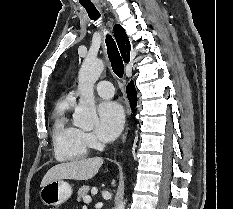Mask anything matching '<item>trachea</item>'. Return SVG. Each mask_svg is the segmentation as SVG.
<instances>
[{
  "instance_id": "1",
  "label": "trachea",
  "mask_w": 233,
  "mask_h": 209,
  "mask_svg": "<svg viewBox=\"0 0 233 209\" xmlns=\"http://www.w3.org/2000/svg\"><path fill=\"white\" fill-rule=\"evenodd\" d=\"M84 8L86 9L90 19L97 20L100 17V13L95 8V6H84ZM106 46L107 54L111 61L113 72L116 74L117 77L122 78L124 75L123 60L120 56L114 39L110 35L106 36Z\"/></svg>"
}]
</instances>
